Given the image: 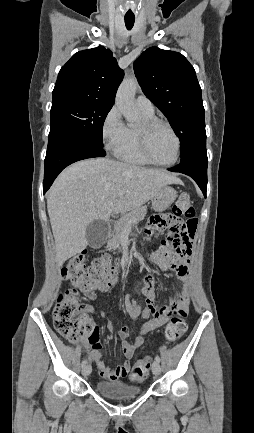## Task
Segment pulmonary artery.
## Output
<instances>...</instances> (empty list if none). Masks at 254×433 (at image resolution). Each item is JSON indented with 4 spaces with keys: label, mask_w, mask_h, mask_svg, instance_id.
<instances>
[{
    "label": "pulmonary artery",
    "mask_w": 254,
    "mask_h": 433,
    "mask_svg": "<svg viewBox=\"0 0 254 433\" xmlns=\"http://www.w3.org/2000/svg\"><path fill=\"white\" fill-rule=\"evenodd\" d=\"M135 103L140 112L146 114L154 113V106L147 97L140 95L136 98Z\"/></svg>",
    "instance_id": "e3ab8cb5"
}]
</instances>
